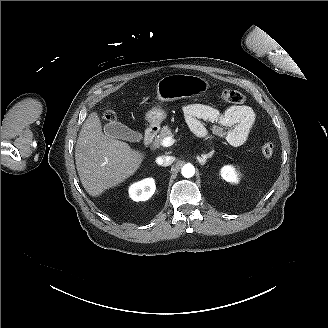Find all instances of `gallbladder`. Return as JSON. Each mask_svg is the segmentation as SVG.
Returning <instances> with one entry per match:
<instances>
[{
    "mask_svg": "<svg viewBox=\"0 0 328 328\" xmlns=\"http://www.w3.org/2000/svg\"><path fill=\"white\" fill-rule=\"evenodd\" d=\"M104 134L121 140H126L129 142H140L143 138V135L138 132L130 129L121 122L111 121L104 126Z\"/></svg>",
    "mask_w": 328,
    "mask_h": 328,
    "instance_id": "obj_1",
    "label": "gallbladder"
}]
</instances>
